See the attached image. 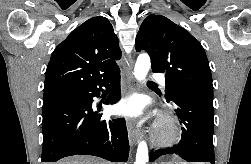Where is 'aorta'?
I'll return each instance as SVG.
<instances>
[{"mask_svg": "<svg viewBox=\"0 0 251 164\" xmlns=\"http://www.w3.org/2000/svg\"><path fill=\"white\" fill-rule=\"evenodd\" d=\"M151 66L150 57L146 53L138 56L134 66V76L141 82L144 81ZM148 147L145 141H141L137 148L136 161L134 164H146L148 162Z\"/></svg>", "mask_w": 251, "mask_h": 164, "instance_id": "1", "label": "aorta"}]
</instances>
